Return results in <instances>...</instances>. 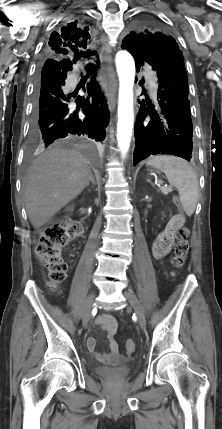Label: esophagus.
I'll use <instances>...</instances> for the list:
<instances>
[{"instance_id":"1","label":"esophagus","mask_w":222,"mask_h":429,"mask_svg":"<svg viewBox=\"0 0 222 429\" xmlns=\"http://www.w3.org/2000/svg\"><path fill=\"white\" fill-rule=\"evenodd\" d=\"M101 42H102L101 56H102L104 65L106 67V75H107V80L109 85V90L107 95L108 105H109V108L112 109L114 107V93H115V79H116V74L114 71L112 56H111L112 48L105 35L101 37Z\"/></svg>"}]
</instances>
